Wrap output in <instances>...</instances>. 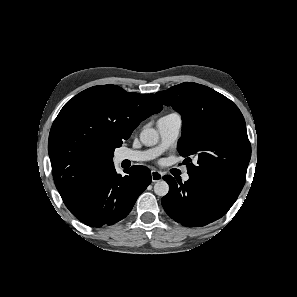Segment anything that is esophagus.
Returning <instances> with one entry per match:
<instances>
[{
    "label": "esophagus",
    "instance_id": "1",
    "mask_svg": "<svg viewBox=\"0 0 297 297\" xmlns=\"http://www.w3.org/2000/svg\"><path fill=\"white\" fill-rule=\"evenodd\" d=\"M151 178H152L153 182H158V181L162 180L163 175L159 171L152 170L151 171Z\"/></svg>",
    "mask_w": 297,
    "mask_h": 297
}]
</instances>
